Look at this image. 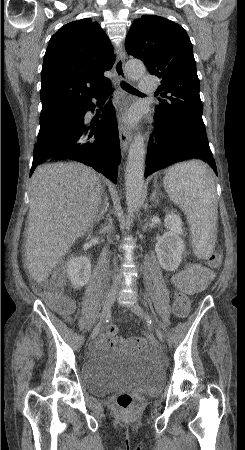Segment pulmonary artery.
<instances>
[{
	"label": "pulmonary artery",
	"instance_id": "pulmonary-artery-1",
	"mask_svg": "<svg viewBox=\"0 0 245 450\" xmlns=\"http://www.w3.org/2000/svg\"><path fill=\"white\" fill-rule=\"evenodd\" d=\"M141 94H151L157 90V79L154 76H143L140 78Z\"/></svg>",
	"mask_w": 245,
	"mask_h": 450
}]
</instances>
